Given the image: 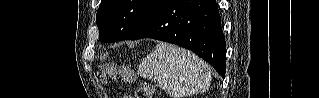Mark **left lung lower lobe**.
<instances>
[{"instance_id":"obj_1","label":"left lung lower lobe","mask_w":319,"mask_h":98,"mask_svg":"<svg viewBox=\"0 0 319 98\" xmlns=\"http://www.w3.org/2000/svg\"><path fill=\"white\" fill-rule=\"evenodd\" d=\"M153 38L185 47L225 76L226 44L215 0H159L128 39Z\"/></svg>"}]
</instances>
